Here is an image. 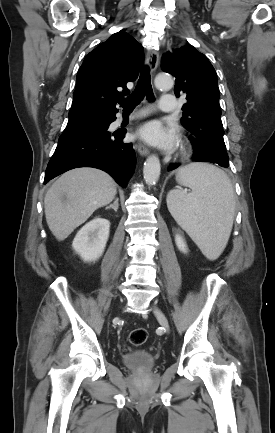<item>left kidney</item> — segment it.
Returning a JSON list of instances; mask_svg holds the SVG:
<instances>
[{
	"mask_svg": "<svg viewBox=\"0 0 275 433\" xmlns=\"http://www.w3.org/2000/svg\"><path fill=\"white\" fill-rule=\"evenodd\" d=\"M175 242H176V245L180 251H182L184 253L187 252L186 243L184 242L183 238L180 235L175 236Z\"/></svg>",
	"mask_w": 275,
	"mask_h": 433,
	"instance_id": "obj_1",
	"label": "left kidney"
}]
</instances>
